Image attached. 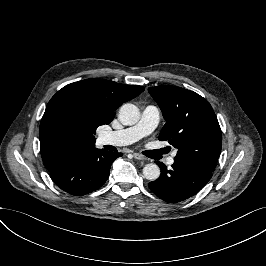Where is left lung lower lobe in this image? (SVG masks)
<instances>
[{"label": "left lung lower lobe", "mask_w": 266, "mask_h": 266, "mask_svg": "<svg viewBox=\"0 0 266 266\" xmlns=\"http://www.w3.org/2000/svg\"><path fill=\"white\" fill-rule=\"evenodd\" d=\"M160 169V177L148 184L150 190L168 203H177L197 194L211 179L210 169L196 163L175 160L172 169L155 161Z\"/></svg>", "instance_id": "1"}]
</instances>
